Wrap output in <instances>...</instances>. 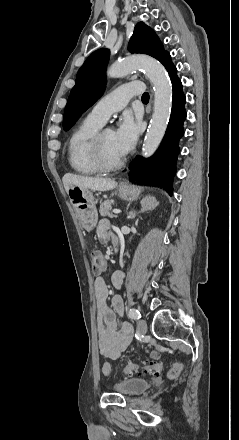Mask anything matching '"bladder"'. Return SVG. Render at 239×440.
Instances as JSON below:
<instances>
[{
    "mask_svg": "<svg viewBox=\"0 0 239 440\" xmlns=\"http://www.w3.org/2000/svg\"><path fill=\"white\" fill-rule=\"evenodd\" d=\"M149 387L150 384L146 379L128 378L115 382L112 390L122 395L133 396L144 393Z\"/></svg>",
    "mask_w": 239,
    "mask_h": 440,
    "instance_id": "obj_1",
    "label": "bladder"
}]
</instances>
